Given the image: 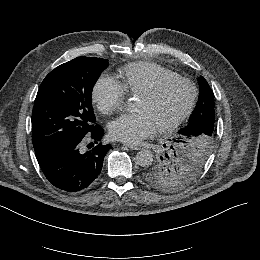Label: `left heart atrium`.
<instances>
[{
  "label": "left heart atrium",
  "mask_w": 260,
  "mask_h": 260,
  "mask_svg": "<svg viewBox=\"0 0 260 260\" xmlns=\"http://www.w3.org/2000/svg\"><path fill=\"white\" fill-rule=\"evenodd\" d=\"M156 125L145 109L123 113L112 121L109 131L112 137L126 143H138L152 135Z\"/></svg>",
  "instance_id": "1"
}]
</instances>
